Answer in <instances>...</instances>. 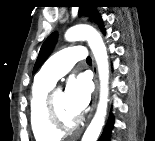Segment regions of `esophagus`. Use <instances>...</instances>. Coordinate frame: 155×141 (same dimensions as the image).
<instances>
[{
  "label": "esophagus",
  "instance_id": "1",
  "mask_svg": "<svg viewBox=\"0 0 155 141\" xmlns=\"http://www.w3.org/2000/svg\"><path fill=\"white\" fill-rule=\"evenodd\" d=\"M92 60H93V72H94V83H95V90L93 93L92 110H91L93 112L97 103L99 84H98L97 66L93 57H92ZM91 116L92 114L90 115V118Z\"/></svg>",
  "mask_w": 155,
  "mask_h": 141
}]
</instances>
